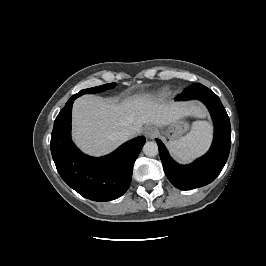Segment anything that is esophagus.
<instances>
[{"label":"esophagus","mask_w":266,"mask_h":266,"mask_svg":"<svg viewBox=\"0 0 266 266\" xmlns=\"http://www.w3.org/2000/svg\"><path fill=\"white\" fill-rule=\"evenodd\" d=\"M157 134H158V130L154 126H148L144 130V135L150 139L154 138Z\"/></svg>","instance_id":"34e87169"}]
</instances>
